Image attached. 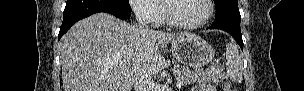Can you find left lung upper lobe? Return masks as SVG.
Wrapping results in <instances>:
<instances>
[{
  "mask_svg": "<svg viewBox=\"0 0 304 91\" xmlns=\"http://www.w3.org/2000/svg\"><path fill=\"white\" fill-rule=\"evenodd\" d=\"M237 2L238 0H214L216 7L215 19H219L232 11L239 10Z\"/></svg>",
  "mask_w": 304,
  "mask_h": 91,
  "instance_id": "1",
  "label": "left lung upper lobe"
}]
</instances>
